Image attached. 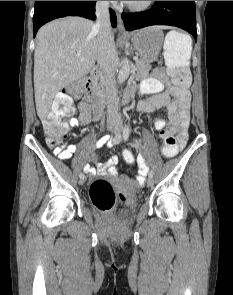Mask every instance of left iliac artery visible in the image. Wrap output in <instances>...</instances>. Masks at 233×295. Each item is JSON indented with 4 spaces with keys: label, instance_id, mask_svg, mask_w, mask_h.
Here are the masks:
<instances>
[{
    "label": "left iliac artery",
    "instance_id": "1",
    "mask_svg": "<svg viewBox=\"0 0 233 295\" xmlns=\"http://www.w3.org/2000/svg\"><path fill=\"white\" fill-rule=\"evenodd\" d=\"M129 135H130V128H129V126L126 125L124 127V130H123V139L127 140L129 138ZM148 176L150 178H152L153 177V171H149Z\"/></svg>",
    "mask_w": 233,
    "mask_h": 295
}]
</instances>
